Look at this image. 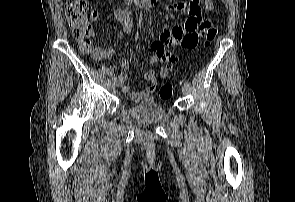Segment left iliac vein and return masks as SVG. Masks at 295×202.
<instances>
[{
  "mask_svg": "<svg viewBox=\"0 0 295 202\" xmlns=\"http://www.w3.org/2000/svg\"><path fill=\"white\" fill-rule=\"evenodd\" d=\"M189 92H190V88H189V86H187V85H183V86H182V93H183L184 95H188Z\"/></svg>",
  "mask_w": 295,
  "mask_h": 202,
  "instance_id": "1",
  "label": "left iliac vein"
}]
</instances>
